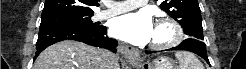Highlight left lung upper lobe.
Instances as JSON below:
<instances>
[{
	"label": "left lung upper lobe",
	"mask_w": 246,
	"mask_h": 69,
	"mask_svg": "<svg viewBox=\"0 0 246 69\" xmlns=\"http://www.w3.org/2000/svg\"><path fill=\"white\" fill-rule=\"evenodd\" d=\"M160 7L181 24L186 35L203 41L201 11L197 0H165Z\"/></svg>",
	"instance_id": "left-lung-upper-lobe-1"
}]
</instances>
